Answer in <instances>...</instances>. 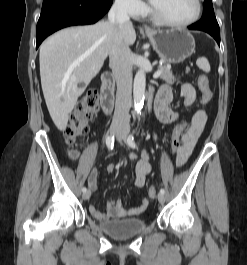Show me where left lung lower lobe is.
<instances>
[{
  "label": "left lung lower lobe",
  "mask_w": 247,
  "mask_h": 265,
  "mask_svg": "<svg viewBox=\"0 0 247 265\" xmlns=\"http://www.w3.org/2000/svg\"><path fill=\"white\" fill-rule=\"evenodd\" d=\"M203 16L201 20L188 28L190 30H201L209 33L215 38L217 43L220 45V30L217 20L215 18L212 1L205 0L204 2Z\"/></svg>",
  "instance_id": "1"
}]
</instances>
